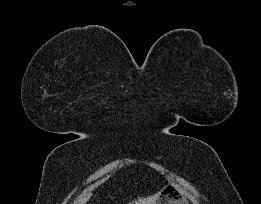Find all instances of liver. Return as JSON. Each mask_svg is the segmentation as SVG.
Returning <instances> with one entry per match:
<instances>
[{"label":"liver","instance_id":"6515ba94","mask_svg":"<svg viewBox=\"0 0 261 204\" xmlns=\"http://www.w3.org/2000/svg\"><path fill=\"white\" fill-rule=\"evenodd\" d=\"M92 196V193L90 190H86L82 193V195L79 197L78 201L82 204L86 203L90 197ZM159 196V193H156L155 195L146 197V198H139L138 200L134 201L130 204H153Z\"/></svg>","mask_w":261,"mask_h":204}]
</instances>
